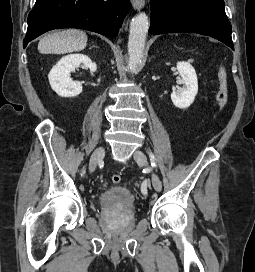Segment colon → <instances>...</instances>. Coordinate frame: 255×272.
Here are the masks:
<instances>
[{"mask_svg": "<svg viewBox=\"0 0 255 272\" xmlns=\"http://www.w3.org/2000/svg\"><path fill=\"white\" fill-rule=\"evenodd\" d=\"M219 78V89L217 93V101L220 109H224L228 102V77L227 71L224 65L219 67L218 71ZM113 183H119L121 181V176L118 174H114L111 177Z\"/></svg>", "mask_w": 255, "mask_h": 272, "instance_id": "colon-1", "label": "colon"}]
</instances>
